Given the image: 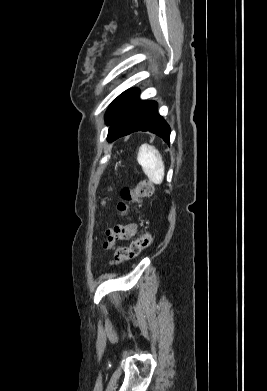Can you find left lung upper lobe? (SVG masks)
I'll return each instance as SVG.
<instances>
[{
    "label": "left lung upper lobe",
    "mask_w": 267,
    "mask_h": 391,
    "mask_svg": "<svg viewBox=\"0 0 267 391\" xmlns=\"http://www.w3.org/2000/svg\"><path fill=\"white\" fill-rule=\"evenodd\" d=\"M132 91V89H129L125 92H123L120 96H118L113 102L112 104L109 106L107 112H106V116H105V119H106V122L107 124L109 125L117 107L119 106V104L123 101V99Z\"/></svg>",
    "instance_id": "left-lung-upper-lobe-1"
}]
</instances>
